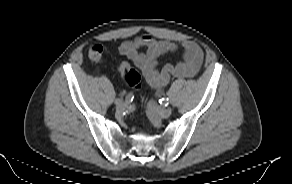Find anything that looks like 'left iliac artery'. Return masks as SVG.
I'll use <instances>...</instances> for the list:
<instances>
[{
    "instance_id": "left-iliac-artery-1",
    "label": "left iliac artery",
    "mask_w": 292,
    "mask_h": 184,
    "mask_svg": "<svg viewBox=\"0 0 292 184\" xmlns=\"http://www.w3.org/2000/svg\"><path fill=\"white\" fill-rule=\"evenodd\" d=\"M159 103L167 106L169 104V99L168 98H161V99H159Z\"/></svg>"
}]
</instances>
